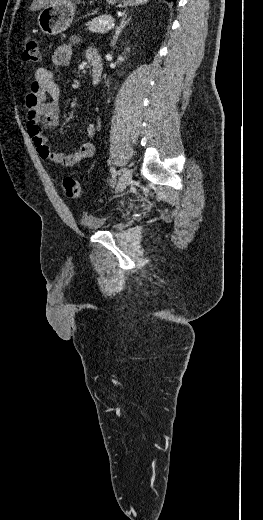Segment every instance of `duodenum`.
Listing matches in <instances>:
<instances>
[{"instance_id":"obj_1","label":"duodenum","mask_w":263,"mask_h":520,"mask_svg":"<svg viewBox=\"0 0 263 520\" xmlns=\"http://www.w3.org/2000/svg\"><path fill=\"white\" fill-rule=\"evenodd\" d=\"M88 58L91 63V81L93 85H97L100 83L102 77V59L100 54L94 50L89 53Z\"/></svg>"}]
</instances>
